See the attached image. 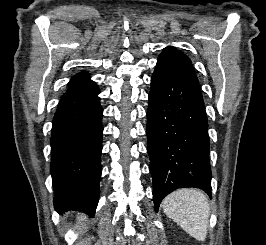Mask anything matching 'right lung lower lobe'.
I'll return each instance as SVG.
<instances>
[{
	"label": "right lung lower lobe",
	"instance_id": "obj_1",
	"mask_svg": "<svg viewBox=\"0 0 266 245\" xmlns=\"http://www.w3.org/2000/svg\"><path fill=\"white\" fill-rule=\"evenodd\" d=\"M95 82L70 85L53 118L51 165L57 212L94 214L99 200L103 109Z\"/></svg>",
	"mask_w": 266,
	"mask_h": 245
}]
</instances>
